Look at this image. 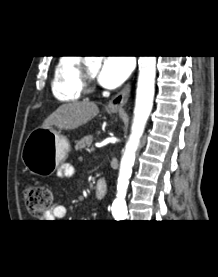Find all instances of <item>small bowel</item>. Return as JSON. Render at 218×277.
<instances>
[{
	"mask_svg": "<svg viewBox=\"0 0 218 277\" xmlns=\"http://www.w3.org/2000/svg\"><path fill=\"white\" fill-rule=\"evenodd\" d=\"M74 173H75L74 167L69 164H63L58 171V175L61 178L71 177L74 175ZM66 212H67L66 207L61 203H57L48 212V214L45 216L44 220H47L46 222H53L54 220H61V219L65 218Z\"/></svg>",
	"mask_w": 218,
	"mask_h": 277,
	"instance_id": "c3829d8e",
	"label": "small bowel"
}]
</instances>
